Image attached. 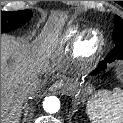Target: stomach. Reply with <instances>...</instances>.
<instances>
[{
    "instance_id": "obj_1",
    "label": "stomach",
    "mask_w": 123,
    "mask_h": 123,
    "mask_svg": "<svg viewBox=\"0 0 123 123\" xmlns=\"http://www.w3.org/2000/svg\"><path fill=\"white\" fill-rule=\"evenodd\" d=\"M61 81L63 82L65 80H61ZM67 84L69 85L71 90H74L76 88L75 84H73V83H70L67 81ZM91 90H92L91 88H87V89H84V92H85V94H87V93H90Z\"/></svg>"
}]
</instances>
